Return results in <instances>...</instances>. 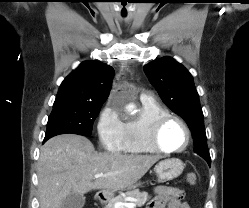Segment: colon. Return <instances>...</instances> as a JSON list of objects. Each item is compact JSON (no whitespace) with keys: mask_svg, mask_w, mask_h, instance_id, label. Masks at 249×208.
<instances>
[{"mask_svg":"<svg viewBox=\"0 0 249 208\" xmlns=\"http://www.w3.org/2000/svg\"><path fill=\"white\" fill-rule=\"evenodd\" d=\"M186 181H187L189 184H191V185L195 184V182H196V175L193 174V173L188 174V175L186 176Z\"/></svg>","mask_w":249,"mask_h":208,"instance_id":"colon-1","label":"colon"}]
</instances>
